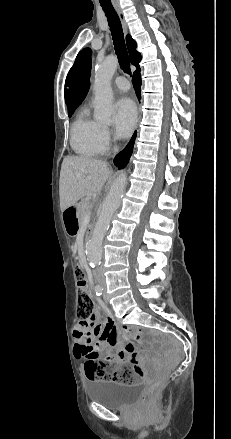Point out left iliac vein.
I'll return each mask as SVG.
<instances>
[{
	"instance_id": "obj_1",
	"label": "left iliac vein",
	"mask_w": 231,
	"mask_h": 439,
	"mask_svg": "<svg viewBox=\"0 0 231 439\" xmlns=\"http://www.w3.org/2000/svg\"><path fill=\"white\" fill-rule=\"evenodd\" d=\"M102 287H103L104 291H106V283H105V281L102 282ZM104 300H105V302L108 301V299H107L105 294H104Z\"/></svg>"
}]
</instances>
